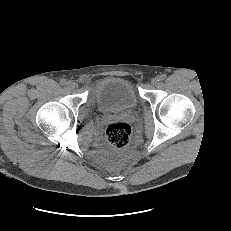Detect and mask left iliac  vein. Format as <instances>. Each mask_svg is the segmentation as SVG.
Wrapping results in <instances>:
<instances>
[{
  "instance_id": "obj_1",
  "label": "left iliac vein",
  "mask_w": 231,
  "mask_h": 231,
  "mask_svg": "<svg viewBox=\"0 0 231 231\" xmlns=\"http://www.w3.org/2000/svg\"><path fill=\"white\" fill-rule=\"evenodd\" d=\"M158 82H159V79L156 78V77L151 79V84H152V85H157Z\"/></svg>"
}]
</instances>
